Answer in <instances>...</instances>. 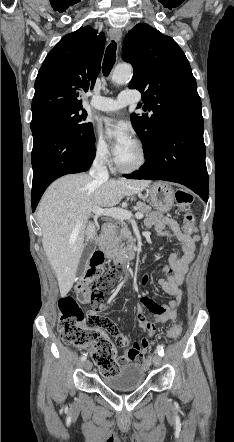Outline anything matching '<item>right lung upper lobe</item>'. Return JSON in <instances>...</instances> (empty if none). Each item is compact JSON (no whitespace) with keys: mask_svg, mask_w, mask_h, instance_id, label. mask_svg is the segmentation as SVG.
Returning <instances> with one entry per match:
<instances>
[{"mask_svg":"<svg viewBox=\"0 0 234 442\" xmlns=\"http://www.w3.org/2000/svg\"><path fill=\"white\" fill-rule=\"evenodd\" d=\"M89 26L65 35L48 53L36 81L32 114L82 107L79 94L92 89L105 47L103 33Z\"/></svg>","mask_w":234,"mask_h":442,"instance_id":"1","label":"right lung upper lobe"}]
</instances>
